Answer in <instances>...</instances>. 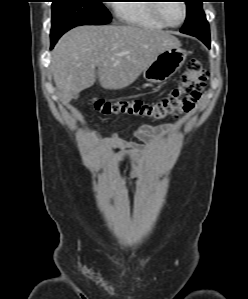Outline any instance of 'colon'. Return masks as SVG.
Listing matches in <instances>:
<instances>
[{
    "label": "colon",
    "mask_w": 248,
    "mask_h": 299,
    "mask_svg": "<svg viewBox=\"0 0 248 299\" xmlns=\"http://www.w3.org/2000/svg\"><path fill=\"white\" fill-rule=\"evenodd\" d=\"M208 79L207 70L199 59L188 63L181 80L170 93L155 103L140 100L110 102L102 98L93 100L94 108L105 114H125L146 117L155 121L166 118H177L190 112L200 98Z\"/></svg>",
    "instance_id": "colon-1"
}]
</instances>
